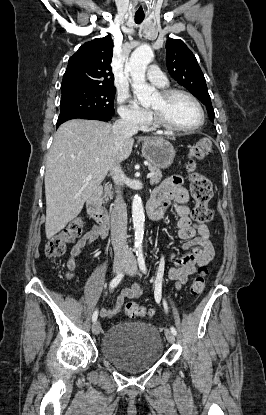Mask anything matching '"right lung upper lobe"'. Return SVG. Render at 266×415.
Masks as SVG:
<instances>
[{"label": "right lung upper lobe", "mask_w": 266, "mask_h": 415, "mask_svg": "<svg viewBox=\"0 0 266 415\" xmlns=\"http://www.w3.org/2000/svg\"><path fill=\"white\" fill-rule=\"evenodd\" d=\"M110 36L83 44L70 57L64 73L61 91L87 87H114L110 63L113 56Z\"/></svg>", "instance_id": "obj_1"}]
</instances>
